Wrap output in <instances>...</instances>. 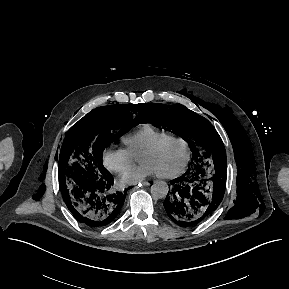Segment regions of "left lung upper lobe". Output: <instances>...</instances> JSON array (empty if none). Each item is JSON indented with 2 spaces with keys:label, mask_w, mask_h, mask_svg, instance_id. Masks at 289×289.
Segmentation results:
<instances>
[{
  "label": "left lung upper lobe",
  "mask_w": 289,
  "mask_h": 289,
  "mask_svg": "<svg viewBox=\"0 0 289 289\" xmlns=\"http://www.w3.org/2000/svg\"><path fill=\"white\" fill-rule=\"evenodd\" d=\"M138 118L182 137L192 150L190 169L201 167L210 170L219 163H226V151L215 128L185 106L146 103L141 106Z\"/></svg>",
  "instance_id": "left-lung-upper-lobe-1"
}]
</instances>
